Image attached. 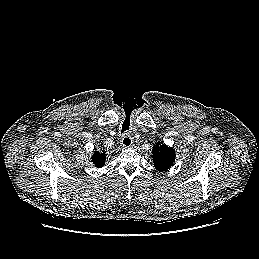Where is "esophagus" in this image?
<instances>
[{
  "label": "esophagus",
  "mask_w": 259,
  "mask_h": 259,
  "mask_svg": "<svg viewBox=\"0 0 259 259\" xmlns=\"http://www.w3.org/2000/svg\"><path fill=\"white\" fill-rule=\"evenodd\" d=\"M121 145L124 147V148H130L133 146V140L130 136L126 135L122 138L121 140Z\"/></svg>",
  "instance_id": "esophagus-1"
}]
</instances>
